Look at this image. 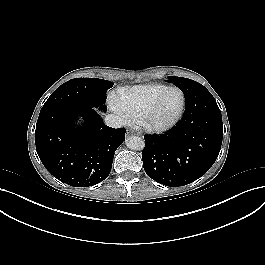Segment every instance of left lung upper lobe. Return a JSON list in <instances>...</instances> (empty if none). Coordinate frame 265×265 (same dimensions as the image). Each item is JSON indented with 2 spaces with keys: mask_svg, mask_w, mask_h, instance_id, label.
<instances>
[{
  "mask_svg": "<svg viewBox=\"0 0 265 265\" xmlns=\"http://www.w3.org/2000/svg\"><path fill=\"white\" fill-rule=\"evenodd\" d=\"M168 82H172L174 85H176L178 88L181 89V91L183 92L184 89L189 88L190 86L193 85H198L200 87H202L205 91L206 94V104L212 105V106H218L214 97L211 95V93L200 83L193 81L191 79L188 78H183V77H174V76H169L168 77Z\"/></svg>",
  "mask_w": 265,
  "mask_h": 265,
  "instance_id": "obj_1",
  "label": "left lung upper lobe"
}]
</instances>
